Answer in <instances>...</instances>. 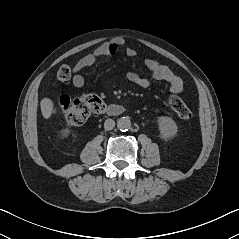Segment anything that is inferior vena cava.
<instances>
[{
	"label": "inferior vena cava",
	"mask_w": 239,
	"mask_h": 239,
	"mask_svg": "<svg viewBox=\"0 0 239 239\" xmlns=\"http://www.w3.org/2000/svg\"><path fill=\"white\" fill-rule=\"evenodd\" d=\"M115 127V121L113 119H106L104 122V128L106 131L112 130Z\"/></svg>",
	"instance_id": "inferior-vena-cava-1"
}]
</instances>
